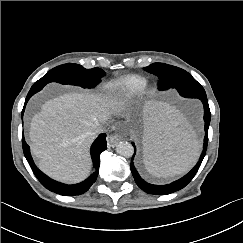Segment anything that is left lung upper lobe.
<instances>
[{
    "mask_svg": "<svg viewBox=\"0 0 243 243\" xmlns=\"http://www.w3.org/2000/svg\"><path fill=\"white\" fill-rule=\"evenodd\" d=\"M149 73L156 75L159 78V90H168L176 88L177 91L181 88H186L199 84L185 70L164 63H153L145 67Z\"/></svg>",
    "mask_w": 243,
    "mask_h": 243,
    "instance_id": "1",
    "label": "left lung upper lobe"
}]
</instances>
